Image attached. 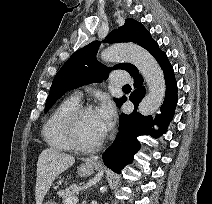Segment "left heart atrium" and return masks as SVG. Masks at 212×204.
Segmentation results:
<instances>
[{"label": "left heart atrium", "instance_id": "1", "mask_svg": "<svg viewBox=\"0 0 212 204\" xmlns=\"http://www.w3.org/2000/svg\"><path fill=\"white\" fill-rule=\"evenodd\" d=\"M97 114L105 135L114 124L115 110L110 103H105L98 109Z\"/></svg>", "mask_w": 212, "mask_h": 204}]
</instances>
